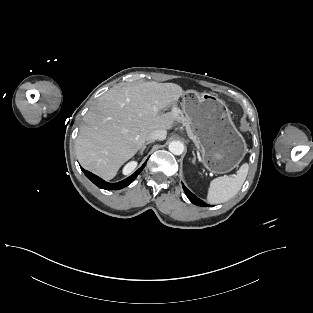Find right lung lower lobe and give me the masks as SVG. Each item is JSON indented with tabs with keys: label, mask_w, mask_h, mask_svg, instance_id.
<instances>
[{
	"label": "right lung lower lobe",
	"mask_w": 313,
	"mask_h": 313,
	"mask_svg": "<svg viewBox=\"0 0 313 313\" xmlns=\"http://www.w3.org/2000/svg\"><path fill=\"white\" fill-rule=\"evenodd\" d=\"M147 161L131 176H129L128 178L117 182V183H109L104 181L103 179H101L100 177L96 176L95 174L81 168V170L84 172V174L86 175V177L88 179H90L95 185H97L99 188L102 189H106V190H118L121 188H124L126 186H128L129 184H131L134 179L139 175V173L143 170V168L145 167Z\"/></svg>",
	"instance_id": "1"
}]
</instances>
